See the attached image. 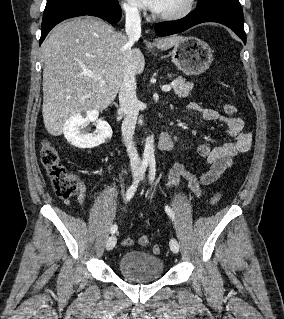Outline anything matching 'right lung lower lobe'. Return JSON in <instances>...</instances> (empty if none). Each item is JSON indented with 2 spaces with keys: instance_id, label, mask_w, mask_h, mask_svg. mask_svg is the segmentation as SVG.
Wrapping results in <instances>:
<instances>
[{
  "instance_id": "1",
  "label": "right lung lower lobe",
  "mask_w": 284,
  "mask_h": 319,
  "mask_svg": "<svg viewBox=\"0 0 284 319\" xmlns=\"http://www.w3.org/2000/svg\"><path fill=\"white\" fill-rule=\"evenodd\" d=\"M90 15L102 18L111 24L117 23L121 18V8L118 3L103 5L94 3L66 4L51 11L45 12L41 25L40 45L49 31L61 21L76 17Z\"/></svg>"
}]
</instances>
